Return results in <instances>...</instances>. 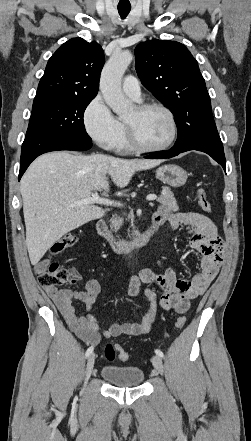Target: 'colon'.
Segmentation results:
<instances>
[{
	"label": "colon",
	"instance_id": "obj_1",
	"mask_svg": "<svg viewBox=\"0 0 251 441\" xmlns=\"http://www.w3.org/2000/svg\"><path fill=\"white\" fill-rule=\"evenodd\" d=\"M199 204L207 213L212 212L211 202L203 189L198 190ZM77 236L75 233L69 232L63 235L56 241L52 247V253H61L75 244ZM78 278L77 272L74 269H68L53 262L47 268L37 270V279L41 286H57L59 284L71 283ZM186 324V317L180 316L176 321V327L181 329ZM105 357L113 361L119 358L122 361H127L129 356L126 351L120 348L113 342H108L104 348Z\"/></svg>",
	"mask_w": 251,
	"mask_h": 441
}]
</instances>
